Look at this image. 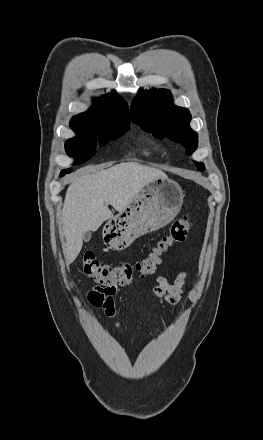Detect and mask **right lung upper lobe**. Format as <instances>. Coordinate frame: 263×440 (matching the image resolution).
I'll list each match as a JSON object with an SVG mask.
<instances>
[{"mask_svg":"<svg viewBox=\"0 0 263 440\" xmlns=\"http://www.w3.org/2000/svg\"><path fill=\"white\" fill-rule=\"evenodd\" d=\"M106 117H127L129 118L128 105L121 97L114 94H107L100 98L99 106L94 105L88 112L74 116L71 119V128H82L93 120Z\"/></svg>","mask_w":263,"mask_h":440,"instance_id":"right-lung-upper-lobe-1","label":"right lung upper lobe"}]
</instances>
